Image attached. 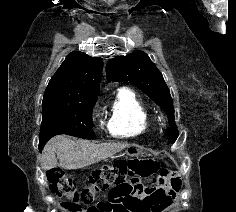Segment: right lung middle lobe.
<instances>
[{"mask_svg":"<svg viewBox=\"0 0 236 212\" xmlns=\"http://www.w3.org/2000/svg\"><path fill=\"white\" fill-rule=\"evenodd\" d=\"M97 98L62 101L43 100V118L39 135V150L57 134H68L85 139H95L92 130V108Z\"/></svg>","mask_w":236,"mask_h":212,"instance_id":"obj_1","label":"right lung middle lobe"}]
</instances>
